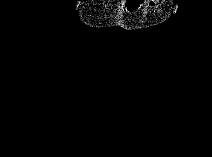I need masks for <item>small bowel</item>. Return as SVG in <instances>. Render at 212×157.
<instances>
[{
  "label": "small bowel",
  "instance_id": "1",
  "mask_svg": "<svg viewBox=\"0 0 212 157\" xmlns=\"http://www.w3.org/2000/svg\"><path fill=\"white\" fill-rule=\"evenodd\" d=\"M144 4H149L150 6H153L155 4L154 1H144V0H128L127 2H124L122 4V11L120 14L122 16L126 15L128 12H132L137 10L140 6Z\"/></svg>",
  "mask_w": 212,
  "mask_h": 157
}]
</instances>
